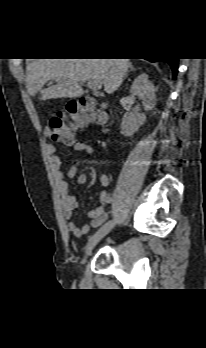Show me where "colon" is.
Segmentation results:
<instances>
[{
    "instance_id": "colon-1",
    "label": "colon",
    "mask_w": 206,
    "mask_h": 348,
    "mask_svg": "<svg viewBox=\"0 0 206 348\" xmlns=\"http://www.w3.org/2000/svg\"><path fill=\"white\" fill-rule=\"evenodd\" d=\"M68 118L74 123H68ZM103 124L106 122L105 113L96 110L90 100L73 101L64 110L55 113L49 121L50 138L54 142L73 143L75 130L89 123Z\"/></svg>"
}]
</instances>
